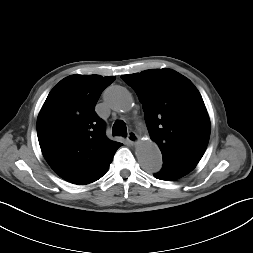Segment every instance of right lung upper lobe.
<instances>
[{"label":"right lung upper lobe","instance_id":"cb5924a9","mask_svg":"<svg viewBox=\"0 0 253 253\" xmlns=\"http://www.w3.org/2000/svg\"><path fill=\"white\" fill-rule=\"evenodd\" d=\"M114 80V76H68L42 106L37 119L42 153L68 182L85 185L101 178L120 144L106 137L105 123L95 112L102 91Z\"/></svg>","mask_w":253,"mask_h":253}]
</instances>
